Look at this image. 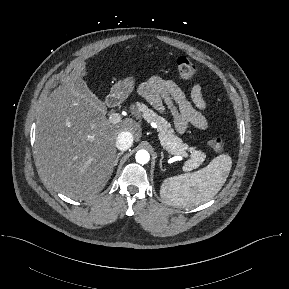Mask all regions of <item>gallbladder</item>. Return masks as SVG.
Here are the masks:
<instances>
[{
  "mask_svg": "<svg viewBox=\"0 0 289 289\" xmlns=\"http://www.w3.org/2000/svg\"><path fill=\"white\" fill-rule=\"evenodd\" d=\"M75 84L79 91L89 94L90 98L99 109L102 111L105 109V103L98 99V97L89 90L83 80H76Z\"/></svg>",
  "mask_w": 289,
  "mask_h": 289,
  "instance_id": "bac80fb5",
  "label": "gallbladder"
}]
</instances>
